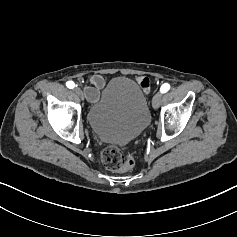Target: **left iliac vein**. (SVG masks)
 Listing matches in <instances>:
<instances>
[{"mask_svg": "<svg viewBox=\"0 0 237 237\" xmlns=\"http://www.w3.org/2000/svg\"><path fill=\"white\" fill-rule=\"evenodd\" d=\"M161 98H162V93L161 92H158V93L155 94V96L153 97V101H152L154 108H158L159 107Z\"/></svg>", "mask_w": 237, "mask_h": 237, "instance_id": "1", "label": "left iliac vein"}]
</instances>
